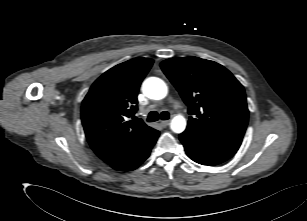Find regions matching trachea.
Masks as SVG:
<instances>
[{
	"label": "trachea",
	"instance_id": "trachea-1",
	"mask_svg": "<svg viewBox=\"0 0 307 221\" xmlns=\"http://www.w3.org/2000/svg\"><path fill=\"white\" fill-rule=\"evenodd\" d=\"M167 120L169 118V113L167 111H163L160 114L156 111H151L147 117L148 122H155L158 119Z\"/></svg>",
	"mask_w": 307,
	"mask_h": 221
}]
</instances>
